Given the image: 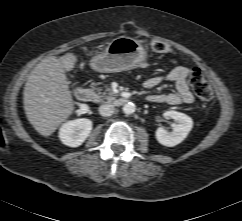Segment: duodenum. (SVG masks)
<instances>
[{
    "mask_svg": "<svg viewBox=\"0 0 242 221\" xmlns=\"http://www.w3.org/2000/svg\"><path fill=\"white\" fill-rule=\"evenodd\" d=\"M76 98L81 102H89L93 99V92L87 87H78L75 91ZM129 97L121 96L112 100L114 106H123L128 103Z\"/></svg>",
    "mask_w": 242,
    "mask_h": 221,
    "instance_id": "obj_1",
    "label": "duodenum"
}]
</instances>
